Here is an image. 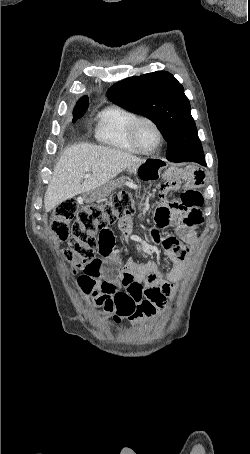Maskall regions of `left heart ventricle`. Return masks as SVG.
Segmentation results:
<instances>
[{"label":"left heart ventricle","instance_id":"left-heart-ventricle-1","mask_svg":"<svg viewBox=\"0 0 250 454\" xmlns=\"http://www.w3.org/2000/svg\"><path fill=\"white\" fill-rule=\"evenodd\" d=\"M137 137L142 147L146 150L153 149L158 142L155 129L148 123H141L138 126Z\"/></svg>","mask_w":250,"mask_h":454}]
</instances>
